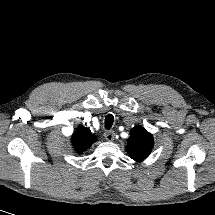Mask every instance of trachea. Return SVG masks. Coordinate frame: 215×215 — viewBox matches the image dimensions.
I'll list each match as a JSON object with an SVG mask.
<instances>
[{"label": "trachea", "instance_id": "3493384b", "mask_svg": "<svg viewBox=\"0 0 215 215\" xmlns=\"http://www.w3.org/2000/svg\"><path fill=\"white\" fill-rule=\"evenodd\" d=\"M114 117L112 114H108L105 118V128L110 129L113 125Z\"/></svg>", "mask_w": 215, "mask_h": 215}]
</instances>
